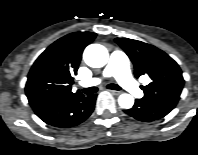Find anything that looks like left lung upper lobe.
Returning a JSON list of instances; mask_svg holds the SVG:
<instances>
[{
  "label": "left lung upper lobe",
  "mask_w": 198,
  "mask_h": 155,
  "mask_svg": "<svg viewBox=\"0 0 198 155\" xmlns=\"http://www.w3.org/2000/svg\"><path fill=\"white\" fill-rule=\"evenodd\" d=\"M135 67V76L148 75L151 82L142 87L144 101L177 104L184 79L179 65L160 49L141 41L116 38Z\"/></svg>",
  "instance_id": "obj_1"
}]
</instances>
